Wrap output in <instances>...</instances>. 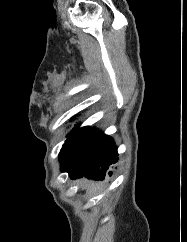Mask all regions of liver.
<instances>
[{
    "label": "liver",
    "mask_w": 187,
    "mask_h": 242,
    "mask_svg": "<svg viewBox=\"0 0 187 242\" xmlns=\"http://www.w3.org/2000/svg\"><path fill=\"white\" fill-rule=\"evenodd\" d=\"M87 185L88 189L90 191H94V190H99L100 189V184L98 183H95V182H91V181H88L86 179H83L80 181V185Z\"/></svg>",
    "instance_id": "liver-1"
}]
</instances>
